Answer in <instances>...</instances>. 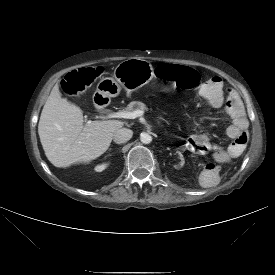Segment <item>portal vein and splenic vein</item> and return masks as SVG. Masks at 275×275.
<instances>
[{"label": "portal vein and splenic vein", "instance_id": "obj_1", "mask_svg": "<svg viewBox=\"0 0 275 275\" xmlns=\"http://www.w3.org/2000/svg\"><path fill=\"white\" fill-rule=\"evenodd\" d=\"M144 114V111L142 110H136L133 112H127V111H119V112H113L106 115L108 118H124V119H135L137 117H140Z\"/></svg>", "mask_w": 275, "mask_h": 275}]
</instances>
